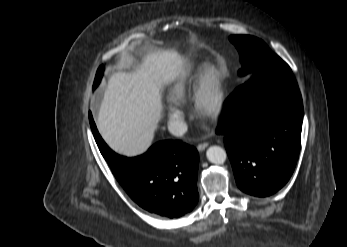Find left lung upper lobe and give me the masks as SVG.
I'll return each mask as SVG.
<instances>
[{"instance_id": "left-lung-upper-lobe-1", "label": "left lung upper lobe", "mask_w": 347, "mask_h": 247, "mask_svg": "<svg viewBox=\"0 0 347 247\" xmlns=\"http://www.w3.org/2000/svg\"><path fill=\"white\" fill-rule=\"evenodd\" d=\"M229 39L235 44L242 58L240 75L251 72L264 64L281 60L262 40L256 37L235 35Z\"/></svg>"}]
</instances>
